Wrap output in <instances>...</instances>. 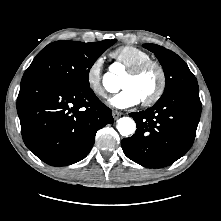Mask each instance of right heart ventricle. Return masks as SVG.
Returning <instances> with one entry per match:
<instances>
[{"label": "right heart ventricle", "mask_w": 221, "mask_h": 221, "mask_svg": "<svg viewBox=\"0 0 221 221\" xmlns=\"http://www.w3.org/2000/svg\"><path fill=\"white\" fill-rule=\"evenodd\" d=\"M110 56L126 69L137 63L151 59V55L148 52L133 45L120 46L113 50Z\"/></svg>", "instance_id": "obj_1"}]
</instances>
